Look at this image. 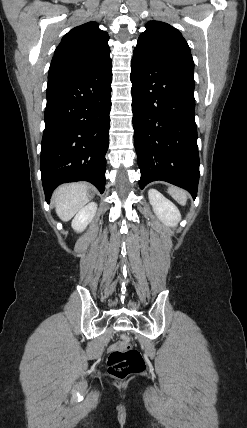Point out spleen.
I'll list each match as a JSON object with an SVG mask.
<instances>
[{
  "instance_id": "3e777b00",
  "label": "spleen",
  "mask_w": 247,
  "mask_h": 428,
  "mask_svg": "<svg viewBox=\"0 0 247 428\" xmlns=\"http://www.w3.org/2000/svg\"><path fill=\"white\" fill-rule=\"evenodd\" d=\"M168 193L181 205H186L187 192L178 187H169Z\"/></svg>"
}]
</instances>
